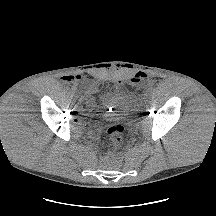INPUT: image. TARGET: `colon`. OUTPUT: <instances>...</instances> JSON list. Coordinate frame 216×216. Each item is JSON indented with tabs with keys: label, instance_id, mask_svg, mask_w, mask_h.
<instances>
[{
	"label": "colon",
	"instance_id": "5ec220e1",
	"mask_svg": "<svg viewBox=\"0 0 216 216\" xmlns=\"http://www.w3.org/2000/svg\"><path fill=\"white\" fill-rule=\"evenodd\" d=\"M109 140L113 146H119L123 141L124 127L120 124H110L107 128Z\"/></svg>",
	"mask_w": 216,
	"mask_h": 216
}]
</instances>
